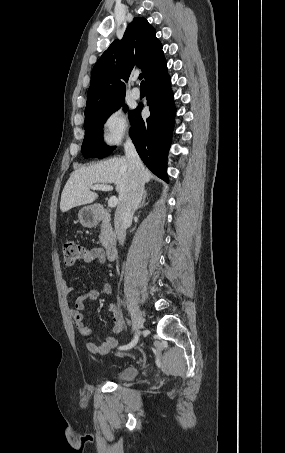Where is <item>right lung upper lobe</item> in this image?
Listing matches in <instances>:
<instances>
[{"mask_svg":"<svg viewBox=\"0 0 285 453\" xmlns=\"http://www.w3.org/2000/svg\"><path fill=\"white\" fill-rule=\"evenodd\" d=\"M162 45L145 18H134L123 39L113 41L96 62L87 93L85 114L125 97L131 70L138 66L145 81L166 68Z\"/></svg>","mask_w":285,"mask_h":453,"instance_id":"obj_1","label":"right lung upper lobe"}]
</instances>
